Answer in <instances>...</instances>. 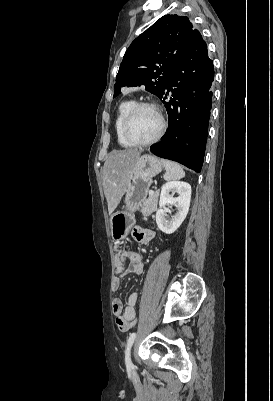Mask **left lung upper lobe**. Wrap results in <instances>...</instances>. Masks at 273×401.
Returning a JSON list of instances; mask_svg holds the SVG:
<instances>
[{"label": "left lung upper lobe", "instance_id": "1", "mask_svg": "<svg viewBox=\"0 0 273 401\" xmlns=\"http://www.w3.org/2000/svg\"><path fill=\"white\" fill-rule=\"evenodd\" d=\"M202 36L186 16L165 15L127 49L114 85V97L124 86L145 85L161 97L177 62Z\"/></svg>", "mask_w": 273, "mask_h": 401}]
</instances>
